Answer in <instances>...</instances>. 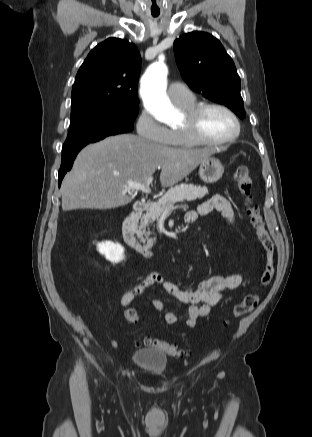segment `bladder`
<instances>
[{
	"label": "bladder",
	"mask_w": 312,
	"mask_h": 437,
	"mask_svg": "<svg viewBox=\"0 0 312 437\" xmlns=\"http://www.w3.org/2000/svg\"><path fill=\"white\" fill-rule=\"evenodd\" d=\"M133 363L142 370L151 374L160 375L166 368L167 356L158 349L143 348L134 353Z\"/></svg>",
	"instance_id": "obj_1"
}]
</instances>
